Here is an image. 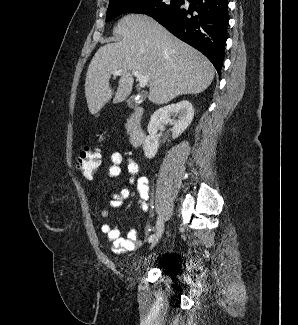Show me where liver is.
I'll return each instance as SVG.
<instances>
[{"instance_id": "1", "label": "liver", "mask_w": 298, "mask_h": 325, "mask_svg": "<svg viewBox=\"0 0 298 325\" xmlns=\"http://www.w3.org/2000/svg\"><path fill=\"white\" fill-rule=\"evenodd\" d=\"M119 42L95 52L86 72L85 98L96 114L107 102H123L131 94V70L149 76L148 100L166 104L179 94H197L210 86L215 68L210 60L145 14H126L114 28ZM114 70H121L118 86H110Z\"/></svg>"}]
</instances>
